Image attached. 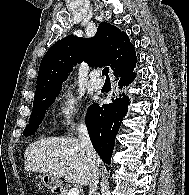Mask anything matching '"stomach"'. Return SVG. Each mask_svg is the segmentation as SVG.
<instances>
[{
  "label": "stomach",
  "instance_id": "stomach-1",
  "mask_svg": "<svg viewBox=\"0 0 189 195\" xmlns=\"http://www.w3.org/2000/svg\"><path fill=\"white\" fill-rule=\"evenodd\" d=\"M39 178L44 186L51 191L57 190L61 187L60 179L51 174L42 173Z\"/></svg>",
  "mask_w": 189,
  "mask_h": 195
}]
</instances>
